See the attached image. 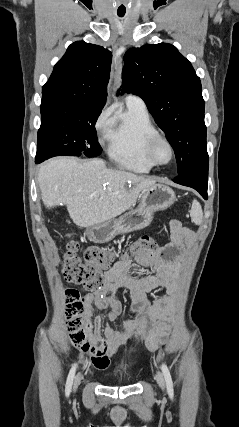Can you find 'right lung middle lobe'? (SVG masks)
<instances>
[{
    "mask_svg": "<svg viewBox=\"0 0 239 427\" xmlns=\"http://www.w3.org/2000/svg\"><path fill=\"white\" fill-rule=\"evenodd\" d=\"M40 108L36 161L58 155L80 156L82 153L96 157L101 154L95 123L103 107L42 101Z\"/></svg>",
    "mask_w": 239,
    "mask_h": 427,
    "instance_id": "dd1d6c3e",
    "label": "right lung middle lobe"
}]
</instances>
